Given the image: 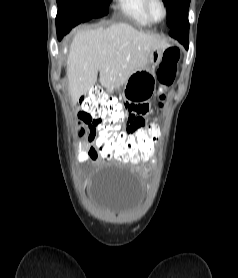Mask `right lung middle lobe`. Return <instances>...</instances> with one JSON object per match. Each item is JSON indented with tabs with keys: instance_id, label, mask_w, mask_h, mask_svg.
I'll use <instances>...</instances> for the list:
<instances>
[{
	"instance_id": "1",
	"label": "right lung middle lobe",
	"mask_w": 238,
	"mask_h": 278,
	"mask_svg": "<svg viewBox=\"0 0 238 278\" xmlns=\"http://www.w3.org/2000/svg\"><path fill=\"white\" fill-rule=\"evenodd\" d=\"M111 0H57L58 7L74 6L82 10L86 20L102 17L108 14Z\"/></svg>"
}]
</instances>
